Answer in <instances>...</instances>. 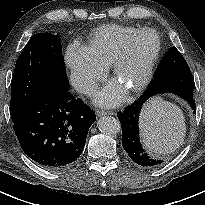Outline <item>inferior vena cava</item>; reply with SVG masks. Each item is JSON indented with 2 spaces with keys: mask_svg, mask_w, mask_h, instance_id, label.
I'll use <instances>...</instances> for the list:
<instances>
[{
  "mask_svg": "<svg viewBox=\"0 0 205 205\" xmlns=\"http://www.w3.org/2000/svg\"><path fill=\"white\" fill-rule=\"evenodd\" d=\"M74 88L80 93L91 95L96 92L97 84L91 81H79L75 83Z\"/></svg>",
  "mask_w": 205,
  "mask_h": 205,
  "instance_id": "602c4592",
  "label": "inferior vena cava"
}]
</instances>
